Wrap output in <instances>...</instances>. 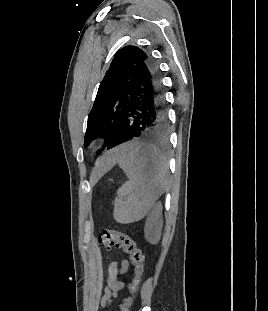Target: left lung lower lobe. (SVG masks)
<instances>
[{
    "label": "left lung lower lobe",
    "instance_id": "1",
    "mask_svg": "<svg viewBox=\"0 0 268 311\" xmlns=\"http://www.w3.org/2000/svg\"><path fill=\"white\" fill-rule=\"evenodd\" d=\"M167 128L160 70L150 57L137 72L125 116L107 149L125 140L166 141Z\"/></svg>",
    "mask_w": 268,
    "mask_h": 311
}]
</instances>
